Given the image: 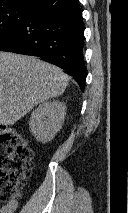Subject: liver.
Wrapping results in <instances>:
<instances>
[{
  "mask_svg": "<svg viewBox=\"0 0 128 213\" xmlns=\"http://www.w3.org/2000/svg\"><path fill=\"white\" fill-rule=\"evenodd\" d=\"M68 76L33 56L0 52V125H13L36 105L61 95Z\"/></svg>",
  "mask_w": 128,
  "mask_h": 213,
  "instance_id": "1",
  "label": "liver"
}]
</instances>
